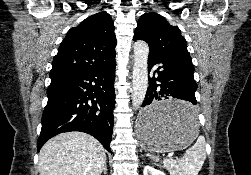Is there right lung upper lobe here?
Wrapping results in <instances>:
<instances>
[{
  "mask_svg": "<svg viewBox=\"0 0 251 175\" xmlns=\"http://www.w3.org/2000/svg\"><path fill=\"white\" fill-rule=\"evenodd\" d=\"M111 16L98 12L71 28L52 62L50 78L101 68L115 60L116 38Z\"/></svg>",
  "mask_w": 251,
  "mask_h": 175,
  "instance_id": "obj_1",
  "label": "right lung upper lobe"
}]
</instances>
